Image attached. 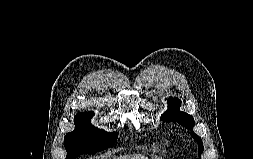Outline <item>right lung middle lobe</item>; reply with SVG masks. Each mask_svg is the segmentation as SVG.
Returning a JSON list of instances; mask_svg holds the SVG:
<instances>
[{"instance_id":"dd1d6c3e","label":"right lung middle lobe","mask_w":253,"mask_h":159,"mask_svg":"<svg viewBox=\"0 0 253 159\" xmlns=\"http://www.w3.org/2000/svg\"><path fill=\"white\" fill-rule=\"evenodd\" d=\"M93 115V112H83L75 116L76 128L67 133L64 138V146L68 152L66 159H75L81 154L102 151L116 142L117 133H107L91 125L90 118Z\"/></svg>"}]
</instances>
